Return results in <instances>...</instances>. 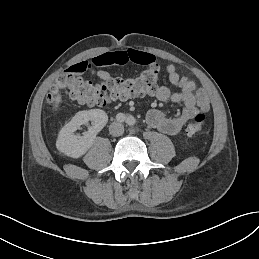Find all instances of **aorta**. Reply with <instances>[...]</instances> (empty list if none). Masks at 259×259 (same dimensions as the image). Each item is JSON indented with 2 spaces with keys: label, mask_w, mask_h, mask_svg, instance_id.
Returning a JSON list of instances; mask_svg holds the SVG:
<instances>
[{
  "label": "aorta",
  "mask_w": 259,
  "mask_h": 259,
  "mask_svg": "<svg viewBox=\"0 0 259 259\" xmlns=\"http://www.w3.org/2000/svg\"><path fill=\"white\" fill-rule=\"evenodd\" d=\"M126 123H127L128 125H133V124L135 123V118H134L133 116H128V117L126 118Z\"/></svg>",
  "instance_id": "762f6f07"
}]
</instances>
